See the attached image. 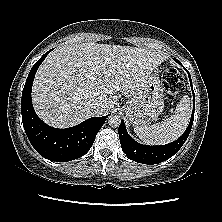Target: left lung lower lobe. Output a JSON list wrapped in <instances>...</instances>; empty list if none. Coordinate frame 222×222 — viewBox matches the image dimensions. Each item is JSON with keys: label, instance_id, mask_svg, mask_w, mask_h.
Masks as SVG:
<instances>
[{"label": "left lung lower lobe", "instance_id": "obj_1", "mask_svg": "<svg viewBox=\"0 0 222 222\" xmlns=\"http://www.w3.org/2000/svg\"><path fill=\"white\" fill-rule=\"evenodd\" d=\"M175 61L181 64V62L178 61L177 59H175ZM188 75L190 83L192 84L189 72ZM194 110H195V97L193 91V111L189 126L187 127L183 135L180 138H178L176 141L161 146H146L137 143L127 133L124 121L122 120L118 128L122 150L130 159L143 164H157L171 158L174 154L178 152V150L182 147V145L185 143L186 139L188 138V135L191 131L193 124Z\"/></svg>", "mask_w": 222, "mask_h": 222}]
</instances>
